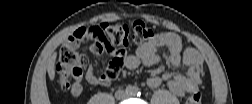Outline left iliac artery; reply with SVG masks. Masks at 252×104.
<instances>
[{"instance_id":"obj_1","label":"left iliac artery","mask_w":252,"mask_h":104,"mask_svg":"<svg viewBox=\"0 0 252 104\" xmlns=\"http://www.w3.org/2000/svg\"><path fill=\"white\" fill-rule=\"evenodd\" d=\"M134 95H136V96H140L141 95V91H140L139 88H135L134 89Z\"/></svg>"}]
</instances>
